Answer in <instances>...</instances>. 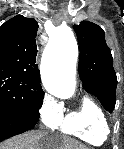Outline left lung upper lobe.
<instances>
[{
    "mask_svg": "<svg viewBox=\"0 0 124 149\" xmlns=\"http://www.w3.org/2000/svg\"><path fill=\"white\" fill-rule=\"evenodd\" d=\"M73 27L80 46L79 76L83 87L111 112L116 102L117 77L112 54L105 42L104 30L97 24L86 21Z\"/></svg>",
    "mask_w": 124,
    "mask_h": 149,
    "instance_id": "5c2ea615",
    "label": "left lung upper lobe"
}]
</instances>
